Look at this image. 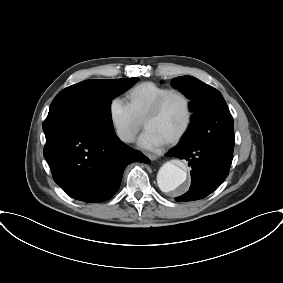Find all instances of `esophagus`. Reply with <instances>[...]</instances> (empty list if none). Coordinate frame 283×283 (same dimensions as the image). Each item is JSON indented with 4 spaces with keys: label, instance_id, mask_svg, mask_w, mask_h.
I'll return each mask as SVG.
<instances>
[{
    "label": "esophagus",
    "instance_id": "obj_1",
    "mask_svg": "<svg viewBox=\"0 0 283 283\" xmlns=\"http://www.w3.org/2000/svg\"><path fill=\"white\" fill-rule=\"evenodd\" d=\"M148 158L153 161V160H156L158 158V156L155 155V154H149Z\"/></svg>",
    "mask_w": 283,
    "mask_h": 283
}]
</instances>
